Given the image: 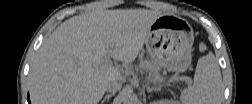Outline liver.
<instances>
[{
	"label": "liver",
	"mask_w": 252,
	"mask_h": 104,
	"mask_svg": "<svg viewBox=\"0 0 252 104\" xmlns=\"http://www.w3.org/2000/svg\"><path fill=\"white\" fill-rule=\"evenodd\" d=\"M162 14L147 9H97L60 24L44 41L31 65L28 85L35 104H97L106 85L122 78L104 56L128 69L151 25Z\"/></svg>",
	"instance_id": "1"
}]
</instances>
